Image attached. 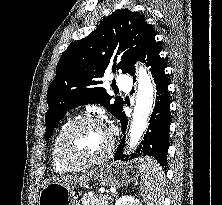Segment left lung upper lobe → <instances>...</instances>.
<instances>
[{"instance_id": "obj_1", "label": "left lung upper lobe", "mask_w": 222, "mask_h": 205, "mask_svg": "<svg viewBox=\"0 0 222 205\" xmlns=\"http://www.w3.org/2000/svg\"><path fill=\"white\" fill-rule=\"evenodd\" d=\"M153 33L141 14L121 9L106 17L87 37L73 42L61 55L55 79L47 91L45 140L66 112L79 105L99 103L118 118L123 100L116 97L110 103L112 96L100 86L99 78L110 63H114L113 72L121 69L129 73ZM114 51L117 53L113 57ZM120 51L124 54L116 64Z\"/></svg>"}]
</instances>
